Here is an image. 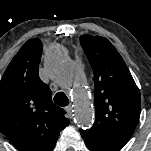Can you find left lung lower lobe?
I'll return each instance as SVG.
<instances>
[{"label": "left lung lower lobe", "mask_w": 151, "mask_h": 151, "mask_svg": "<svg viewBox=\"0 0 151 151\" xmlns=\"http://www.w3.org/2000/svg\"><path fill=\"white\" fill-rule=\"evenodd\" d=\"M81 135L91 151H120L130 138L82 131Z\"/></svg>", "instance_id": "obj_1"}]
</instances>
